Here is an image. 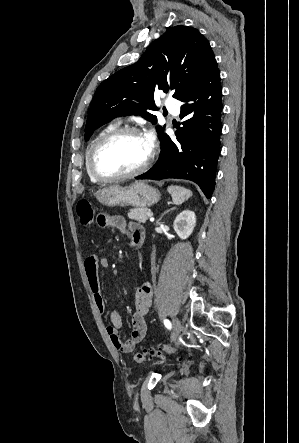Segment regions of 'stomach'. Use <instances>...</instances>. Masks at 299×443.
I'll list each match as a JSON object with an SVG mask.
<instances>
[{
  "instance_id": "1",
  "label": "stomach",
  "mask_w": 299,
  "mask_h": 443,
  "mask_svg": "<svg viewBox=\"0 0 299 443\" xmlns=\"http://www.w3.org/2000/svg\"><path fill=\"white\" fill-rule=\"evenodd\" d=\"M97 200L109 207L134 206L147 208L157 203L160 192L144 181L134 182L130 186L110 185L96 192Z\"/></svg>"
}]
</instances>
